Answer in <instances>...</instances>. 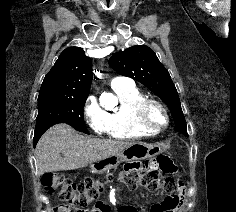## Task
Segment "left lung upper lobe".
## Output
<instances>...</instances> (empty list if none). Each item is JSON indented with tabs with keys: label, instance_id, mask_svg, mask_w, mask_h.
Segmentation results:
<instances>
[{
	"label": "left lung upper lobe",
	"instance_id": "5c2ea615",
	"mask_svg": "<svg viewBox=\"0 0 236 212\" xmlns=\"http://www.w3.org/2000/svg\"><path fill=\"white\" fill-rule=\"evenodd\" d=\"M109 65L120 75L135 79L158 95L169 107L175 130L187 135L180 99L168 70L155 52L146 45H137L111 56Z\"/></svg>",
	"mask_w": 236,
	"mask_h": 212
}]
</instances>
